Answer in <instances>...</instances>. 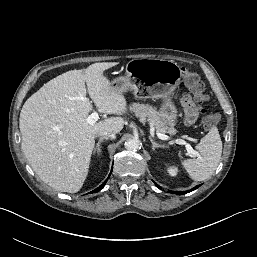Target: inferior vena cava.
<instances>
[{
  "instance_id": "inferior-vena-cava-1",
  "label": "inferior vena cava",
  "mask_w": 257,
  "mask_h": 257,
  "mask_svg": "<svg viewBox=\"0 0 257 257\" xmlns=\"http://www.w3.org/2000/svg\"><path fill=\"white\" fill-rule=\"evenodd\" d=\"M98 136L100 138H111V139H115L116 138V133L111 132V131H102L98 134Z\"/></svg>"
}]
</instances>
